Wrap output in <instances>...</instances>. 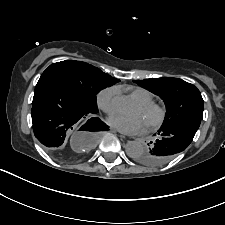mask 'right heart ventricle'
I'll return each mask as SVG.
<instances>
[{
    "label": "right heart ventricle",
    "instance_id": "right-heart-ventricle-1",
    "mask_svg": "<svg viewBox=\"0 0 225 225\" xmlns=\"http://www.w3.org/2000/svg\"><path fill=\"white\" fill-rule=\"evenodd\" d=\"M130 94L139 104H147L154 101L152 93L144 88H133Z\"/></svg>",
    "mask_w": 225,
    "mask_h": 225
}]
</instances>
